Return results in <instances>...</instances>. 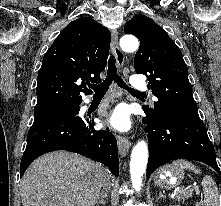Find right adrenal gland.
I'll list each match as a JSON object with an SVG mask.
<instances>
[{
	"label": "right adrenal gland",
	"mask_w": 221,
	"mask_h": 206,
	"mask_svg": "<svg viewBox=\"0 0 221 206\" xmlns=\"http://www.w3.org/2000/svg\"><path fill=\"white\" fill-rule=\"evenodd\" d=\"M105 199H107V194L102 191V192L100 193V200L97 202V205H96V206H99V205H101V204H102L103 206H105V205H106Z\"/></svg>",
	"instance_id": "right-adrenal-gland-1"
}]
</instances>
